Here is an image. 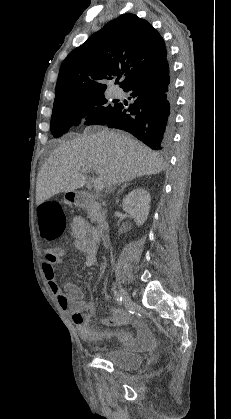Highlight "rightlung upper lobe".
I'll list each match as a JSON object with an SVG mask.
<instances>
[{"label": "right lung upper lobe", "instance_id": "1", "mask_svg": "<svg viewBox=\"0 0 231 419\" xmlns=\"http://www.w3.org/2000/svg\"><path fill=\"white\" fill-rule=\"evenodd\" d=\"M163 38L134 14L107 23L62 62L54 103L105 91L115 76L123 89L166 59Z\"/></svg>", "mask_w": 231, "mask_h": 419}]
</instances>
